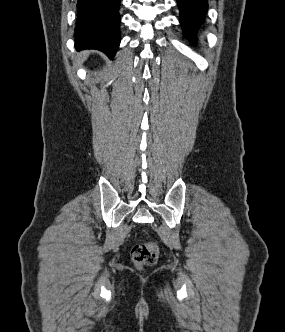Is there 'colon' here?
I'll return each instance as SVG.
<instances>
[{
    "label": "colon",
    "mask_w": 285,
    "mask_h": 332,
    "mask_svg": "<svg viewBox=\"0 0 285 332\" xmlns=\"http://www.w3.org/2000/svg\"><path fill=\"white\" fill-rule=\"evenodd\" d=\"M158 246L154 242H143L133 246L131 259L139 267L153 266L158 259Z\"/></svg>",
    "instance_id": "obj_1"
}]
</instances>
